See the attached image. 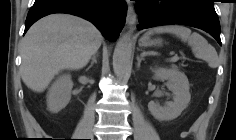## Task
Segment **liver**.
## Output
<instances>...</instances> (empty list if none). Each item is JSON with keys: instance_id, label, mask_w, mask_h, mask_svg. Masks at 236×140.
I'll use <instances>...</instances> for the list:
<instances>
[{"instance_id": "6515ba94", "label": "liver", "mask_w": 236, "mask_h": 140, "mask_svg": "<svg viewBox=\"0 0 236 140\" xmlns=\"http://www.w3.org/2000/svg\"><path fill=\"white\" fill-rule=\"evenodd\" d=\"M103 37L90 22L52 14L37 21L21 44V77L34 92H43L61 70L85 67Z\"/></svg>"}]
</instances>
